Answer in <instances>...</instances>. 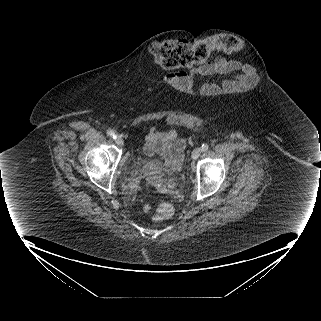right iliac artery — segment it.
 <instances>
[{
  "label": "right iliac artery",
  "mask_w": 321,
  "mask_h": 321,
  "mask_svg": "<svg viewBox=\"0 0 321 321\" xmlns=\"http://www.w3.org/2000/svg\"><path fill=\"white\" fill-rule=\"evenodd\" d=\"M107 134L111 137V138H116V135H115V133H114V131H112V130H107Z\"/></svg>",
  "instance_id": "right-iliac-artery-1"
}]
</instances>
